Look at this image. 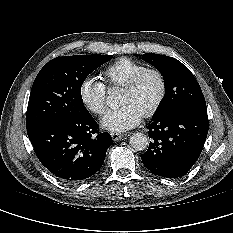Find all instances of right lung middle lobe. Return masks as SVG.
<instances>
[{"label":"right lung middle lobe","instance_id":"1","mask_svg":"<svg viewBox=\"0 0 233 233\" xmlns=\"http://www.w3.org/2000/svg\"><path fill=\"white\" fill-rule=\"evenodd\" d=\"M112 55H74L49 61L38 73L29 97L26 128L88 112L81 97L86 77Z\"/></svg>","mask_w":233,"mask_h":233}]
</instances>
